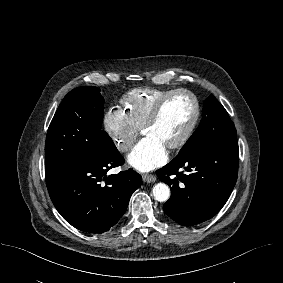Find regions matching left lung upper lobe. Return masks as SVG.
I'll use <instances>...</instances> for the list:
<instances>
[{
	"label": "left lung upper lobe",
	"instance_id": "left-lung-upper-lobe-1",
	"mask_svg": "<svg viewBox=\"0 0 283 283\" xmlns=\"http://www.w3.org/2000/svg\"><path fill=\"white\" fill-rule=\"evenodd\" d=\"M237 132L225 108L210 95L205 101L200 125L179 153L196 145L236 137Z\"/></svg>",
	"mask_w": 283,
	"mask_h": 283
}]
</instances>
